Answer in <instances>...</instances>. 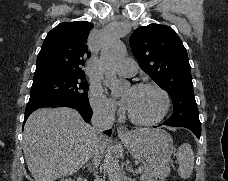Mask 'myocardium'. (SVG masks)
<instances>
[{
    "label": "myocardium",
    "instance_id": "myocardium-1",
    "mask_svg": "<svg viewBox=\"0 0 228 181\" xmlns=\"http://www.w3.org/2000/svg\"><path fill=\"white\" fill-rule=\"evenodd\" d=\"M149 87L154 90H156L159 95L161 96L162 99V105L158 113L151 119L143 120L135 117L129 110L127 112V115L129 119L138 125H143V126H151L159 122L167 113L168 108H169V96L168 94L156 83L153 82H148V81H141V82H131V88L133 89H139V88H145Z\"/></svg>",
    "mask_w": 228,
    "mask_h": 181
}]
</instances>
